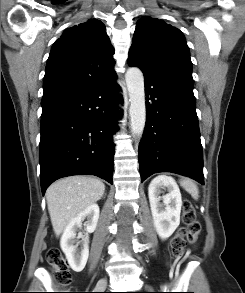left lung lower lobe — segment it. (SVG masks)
I'll list each match as a JSON object with an SVG mask.
<instances>
[{"label": "left lung lower lobe", "mask_w": 245, "mask_h": 293, "mask_svg": "<svg viewBox=\"0 0 245 293\" xmlns=\"http://www.w3.org/2000/svg\"><path fill=\"white\" fill-rule=\"evenodd\" d=\"M140 69L145 78L147 111L138 151L141 180L154 173L172 172L204 184L194 94Z\"/></svg>", "instance_id": "0a47b994"}]
</instances>
